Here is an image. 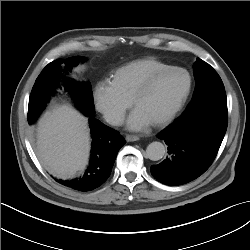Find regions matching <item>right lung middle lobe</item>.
<instances>
[{
  "label": "right lung middle lobe",
  "instance_id": "dd1d6c3e",
  "mask_svg": "<svg viewBox=\"0 0 250 250\" xmlns=\"http://www.w3.org/2000/svg\"><path fill=\"white\" fill-rule=\"evenodd\" d=\"M83 57H71L65 60H57L48 64L33 86L28 106V123H33L42 110L45 108L50 96L54 95L57 87H60V80L63 78V73L76 66ZM64 87L67 83H64ZM76 106L83 114L87 116H94L93 95L90 82H76L71 80V89L68 90Z\"/></svg>",
  "mask_w": 250,
  "mask_h": 250
}]
</instances>
